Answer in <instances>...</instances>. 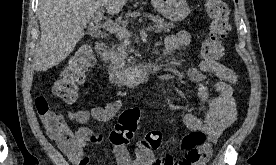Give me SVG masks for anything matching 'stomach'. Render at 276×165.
I'll return each mask as SVG.
<instances>
[{"mask_svg": "<svg viewBox=\"0 0 276 165\" xmlns=\"http://www.w3.org/2000/svg\"><path fill=\"white\" fill-rule=\"evenodd\" d=\"M153 7L167 19L178 22L190 13L186 0H151Z\"/></svg>", "mask_w": 276, "mask_h": 165, "instance_id": "0dacf381", "label": "stomach"}]
</instances>
